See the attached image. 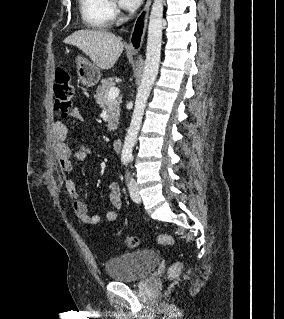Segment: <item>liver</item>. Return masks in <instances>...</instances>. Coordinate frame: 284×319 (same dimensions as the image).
<instances>
[{
    "instance_id": "6515ba94",
    "label": "liver",
    "mask_w": 284,
    "mask_h": 319,
    "mask_svg": "<svg viewBox=\"0 0 284 319\" xmlns=\"http://www.w3.org/2000/svg\"><path fill=\"white\" fill-rule=\"evenodd\" d=\"M64 43L78 47L100 69H111L123 52L120 37L107 30H78L68 36Z\"/></svg>"
}]
</instances>
